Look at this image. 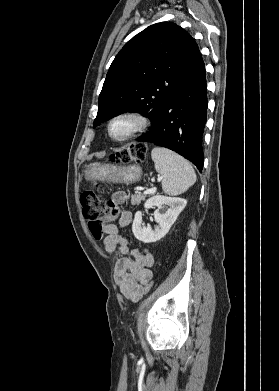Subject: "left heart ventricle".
Segmentation results:
<instances>
[{
    "label": "left heart ventricle",
    "instance_id": "obj_1",
    "mask_svg": "<svg viewBox=\"0 0 279 391\" xmlns=\"http://www.w3.org/2000/svg\"><path fill=\"white\" fill-rule=\"evenodd\" d=\"M130 127L128 121H119L113 126V133L117 136L123 135Z\"/></svg>",
    "mask_w": 279,
    "mask_h": 391
}]
</instances>
